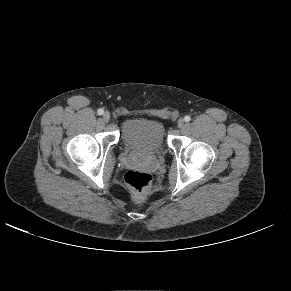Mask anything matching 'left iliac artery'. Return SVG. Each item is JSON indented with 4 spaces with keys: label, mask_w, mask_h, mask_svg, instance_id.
Returning a JSON list of instances; mask_svg holds the SVG:
<instances>
[{
    "label": "left iliac artery",
    "mask_w": 291,
    "mask_h": 291,
    "mask_svg": "<svg viewBox=\"0 0 291 291\" xmlns=\"http://www.w3.org/2000/svg\"><path fill=\"white\" fill-rule=\"evenodd\" d=\"M184 120H185L186 122H189V121L191 120V118H190V116H185V117H184Z\"/></svg>",
    "instance_id": "left-iliac-artery-1"
}]
</instances>
